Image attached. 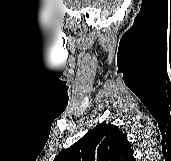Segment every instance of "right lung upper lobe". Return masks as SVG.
Listing matches in <instances>:
<instances>
[{
	"label": "right lung upper lobe",
	"mask_w": 171,
	"mask_h": 161,
	"mask_svg": "<svg viewBox=\"0 0 171 161\" xmlns=\"http://www.w3.org/2000/svg\"><path fill=\"white\" fill-rule=\"evenodd\" d=\"M54 161H135L125 134L113 125L102 123L84 135Z\"/></svg>",
	"instance_id": "cb5924a9"
}]
</instances>
